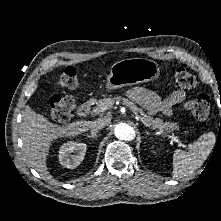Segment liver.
I'll use <instances>...</instances> for the list:
<instances>
[{
    "mask_svg": "<svg viewBox=\"0 0 221 221\" xmlns=\"http://www.w3.org/2000/svg\"><path fill=\"white\" fill-rule=\"evenodd\" d=\"M95 121H102L107 125L111 122V115ZM95 121H76L65 127L58 126L26 106L22 113L20 130L28 163L42 176L52 178L46 167V157L52 141L59 137H72L86 132Z\"/></svg>",
    "mask_w": 221,
    "mask_h": 221,
    "instance_id": "1",
    "label": "liver"
}]
</instances>
